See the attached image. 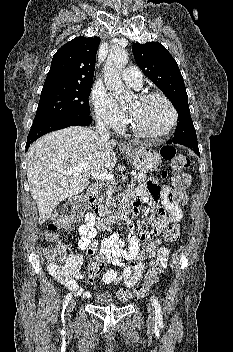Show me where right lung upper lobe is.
<instances>
[{
	"label": "right lung upper lobe",
	"mask_w": 233,
	"mask_h": 352,
	"mask_svg": "<svg viewBox=\"0 0 233 352\" xmlns=\"http://www.w3.org/2000/svg\"><path fill=\"white\" fill-rule=\"evenodd\" d=\"M99 37H76L53 56L43 87L92 85Z\"/></svg>",
	"instance_id": "1"
}]
</instances>
